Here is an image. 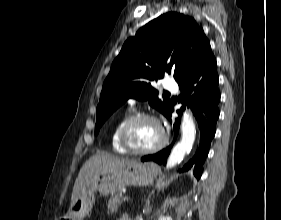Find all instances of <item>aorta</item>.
Returning a JSON list of instances; mask_svg holds the SVG:
<instances>
[{
	"mask_svg": "<svg viewBox=\"0 0 281 220\" xmlns=\"http://www.w3.org/2000/svg\"><path fill=\"white\" fill-rule=\"evenodd\" d=\"M182 138L181 141L173 148L166 168L170 169L180 163L186 154H188L195 141L196 129L190 112H185L181 123Z\"/></svg>",
	"mask_w": 281,
	"mask_h": 220,
	"instance_id": "obj_1",
	"label": "aorta"
}]
</instances>
